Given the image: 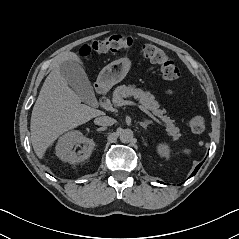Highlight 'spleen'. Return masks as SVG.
<instances>
[{
  "label": "spleen",
  "mask_w": 239,
  "mask_h": 239,
  "mask_svg": "<svg viewBox=\"0 0 239 239\" xmlns=\"http://www.w3.org/2000/svg\"><path fill=\"white\" fill-rule=\"evenodd\" d=\"M185 152H186V153H190V150H189V149H186Z\"/></svg>",
  "instance_id": "spleen-1"
}]
</instances>
